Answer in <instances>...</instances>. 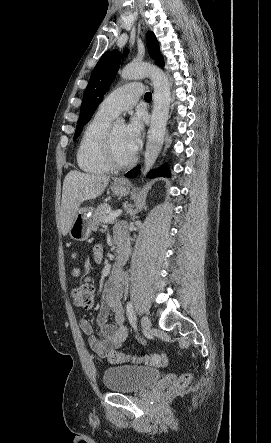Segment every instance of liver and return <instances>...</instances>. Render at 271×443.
Segmentation results:
<instances>
[{
  "label": "liver",
  "mask_w": 271,
  "mask_h": 443,
  "mask_svg": "<svg viewBox=\"0 0 271 443\" xmlns=\"http://www.w3.org/2000/svg\"><path fill=\"white\" fill-rule=\"evenodd\" d=\"M109 180L108 176H92V174H82L77 170H72L65 176L60 214L63 235H67L71 223L80 210V204L101 196Z\"/></svg>",
  "instance_id": "1"
}]
</instances>
